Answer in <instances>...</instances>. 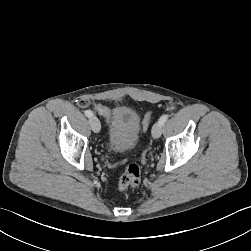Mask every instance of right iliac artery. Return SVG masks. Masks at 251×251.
Wrapping results in <instances>:
<instances>
[{"instance_id": "obj_1", "label": "right iliac artery", "mask_w": 251, "mask_h": 251, "mask_svg": "<svg viewBox=\"0 0 251 251\" xmlns=\"http://www.w3.org/2000/svg\"><path fill=\"white\" fill-rule=\"evenodd\" d=\"M84 113H85V115H86L87 117H92V116H93V113H92L91 110H86Z\"/></svg>"}]
</instances>
